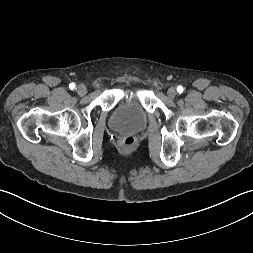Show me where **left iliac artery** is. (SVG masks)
Masks as SVG:
<instances>
[{
	"mask_svg": "<svg viewBox=\"0 0 253 253\" xmlns=\"http://www.w3.org/2000/svg\"><path fill=\"white\" fill-rule=\"evenodd\" d=\"M183 90H184V89H183V87H182V86H178V87H177V92H178V93H182V92H183Z\"/></svg>",
	"mask_w": 253,
	"mask_h": 253,
	"instance_id": "44dca946",
	"label": "left iliac artery"
}]
</instances>
